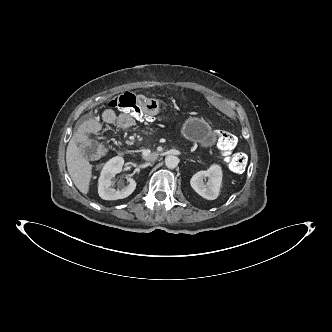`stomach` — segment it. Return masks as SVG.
<instances>
[{
  "label": "stomach",
  "mask_w": 332,
  "mask_h": 332,
  "mask_svg": "<svg viewBox=\"0 0 332 332\" xmlns=\"http://www.w3.org/2000/svg\"><path fill=\"white\" fill-rule=\"evenodd\" d=\"M182 134L189 140L213 145L216 136L212 134L210 125L201 118H188L182 127Z\"/></svg>",
  "instance_id": "0dacf381"
}]
</instances>
